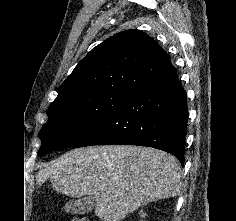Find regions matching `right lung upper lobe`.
<instances>
[{
  "label": "right lung upper lobe",
  "instance_id": "right-lung-upper-lobe-1",
  "mask_svg": "<svg viewBox=\"0 0 236 221\" xmlns=\"http://www.w3.org/2000/svg\"><path fill=\"white\" fill-rule=\"evenodd\" d=\"M171 68L169 56L150 36L126 30L93 48L62 83L50 106L109 89L138 91Z\"/></svg>",
  "mask_w": 236,
  "mask_h": 221
}]
</instances>
